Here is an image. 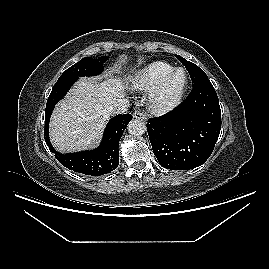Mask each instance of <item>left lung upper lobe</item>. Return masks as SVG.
I'll list each match as a JSON object with an SVG mask.
<instances>
[{
    "label": "left lung upper lobe",
    "mask_w": 269,
    "mask_h": 269,
    "mask_svg": "<svg viewBox=\"0 0 269 269\" xmlns=\"http://www.w3.org/2000/svg\"><path fill=\"white\" fill-rule=\"evenodd\" d=\"M175 56L179 61L182 62V64L188 70L193 86L203 81L209 80L205 72L201 68H199L197 65H195L192 62L187 61L186 59H184L183 57L179 55H175Z\"/></svg>",
    "instance_id": "1"
}]
</instances>
